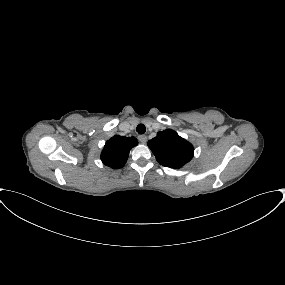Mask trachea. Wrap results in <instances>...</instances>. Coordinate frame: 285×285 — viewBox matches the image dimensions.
Wrapping results in <instances>:
<instances>
[{
	"instance_id": "trachea-1",
	"label": "trachea",
	"mask_w": 285,
	"mask_h": 285,
	"mask_svg": "<svg viewBox=\"0 0 285 285\" xmlns=\"http://www.w3.org/2000/svg\"><path fill=\"white\" fill-rule=\"evenodd\" d=\"M136 131L139 133V134H144L146 132V127L145 125L143 124H139L136 128Z\"/></svg>"
}]
</instances>
